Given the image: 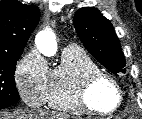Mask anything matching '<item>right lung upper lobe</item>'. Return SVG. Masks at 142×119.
Instances as JSON below:
<instances>
[{
  "mask_svg": "<svg viewBox=\"0 0 142 119\" xmlns=\"http://www.w3.org/2000/svg\"><path fill=\"white\" fill-rule=\"evenodd\" d=\"M39 18L40 11L35 5L22 4L18 0H1L0 57L22 54Z\"/></svg>",
  "mask_w": 142,
  "mask_h": 119,
  "instance_id": "1",
  "label": "right lung upper lobe"
}]
</instances>
